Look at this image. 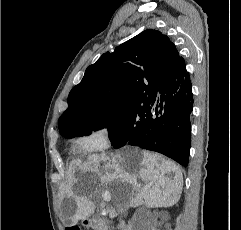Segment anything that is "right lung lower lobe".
<instances>
[{"mask_svg":"<svg viewBox=\"0 0 241 230\" xmlns=\"http://www.w3.org/2000/svg\"><path fill=\"white\" fill-rule=\"evenodd\" d=\"M193 93L183 58L162 78L147 106V124L130 134L116 148L130 144L162 153L183 166L188 165Z\"/></svg>","mask_w":241,"mask_h":230,"instance_id":"obj_1","label":"right lung lower lobe"}]
</instances>
